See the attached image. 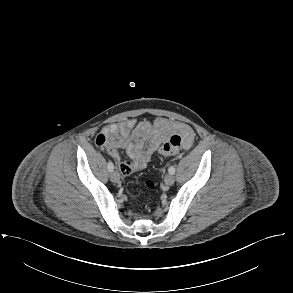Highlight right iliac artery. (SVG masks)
<instances>
[{
    "label": "right iliac artery",
    "mask_w": 293,
    "mask_h": 293,
    "mask_svg": "<svg viewBox=\"0 0 293 293\" xmlns=\"http://www.w3.org/2000/svg\"><path fill=\"white\" fill-rule=\"evenodd\" d=\"M107 167H108L109 172L113 171V169H114V165H113V163L111 161L108 162Z\"/></svg>",
    "instance_id": "82829eb1"
}]
</instances>
